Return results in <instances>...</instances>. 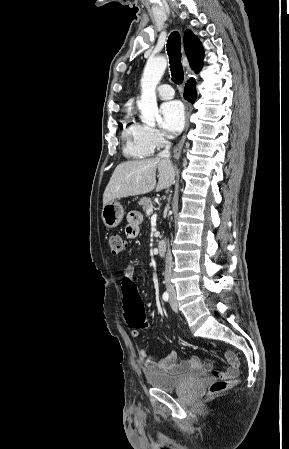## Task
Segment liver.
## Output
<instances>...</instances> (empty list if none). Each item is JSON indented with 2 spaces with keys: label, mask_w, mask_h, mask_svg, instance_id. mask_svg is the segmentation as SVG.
<instances>
[{
  "label": "liver",
  "mask_w": 289,
  "mask_h": 449,
  "mask_svg": "<svg viewBox=\"0 0 289 449\" xmlns=\"http://www.w3.org/2000/svg\"><path fill=\"white\" fill-rule=\"evenodd\" d=\"M174 179L175 168L169 159L154 157L123 162L115 168L106 186L103 206L114 199L143 195L154 189L161 191L170 187Z\"/></svg>",
  "instance_id": "obj_1"
}]
</instances>
